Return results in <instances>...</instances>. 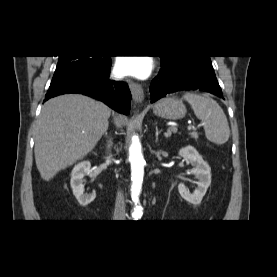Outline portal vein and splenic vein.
<instances>
[{
	"label": "portal vein and splenic vein",
	"mask_w": 277,
	"mask_h": 277,
	"mask_svg": "<svg viewBox=\"0 0 277 277\" xmlns=\"http://www.w3.org/2000/svg\"><path fill=\"white\" fill-rule=\"evenodd\" d=\"M193 128H194L193 126H188V130H191ZM176 131H177L176 128H171V130H169L167 134H170L171 132H176Z\"/></svg>",
	"instance_id": "portal-vein-and-splenic-vein-1"
}]
</instances>
